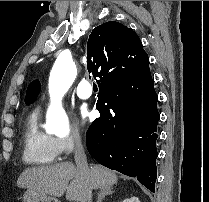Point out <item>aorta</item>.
Here are the masks:
<instances>
[{
    "instance_id": "762f6f07",
    "label": "aorta",
    "mask_w": 209,
    "mask_h": 202,
    "mask_svg": "<svg viewBox=\"0 0 209 202\" xmlns=\"http://www.w3.org/2000/svg\"><path fill=\"white\" fill-rule=\"evenodd\" d=\"M76 67L70 55L60 54L50 72L48 90L51 99L46 115L45 130L53 134H68L69 119L61 105V99L76 78Z\"/></svg>"
}]
</instances>
